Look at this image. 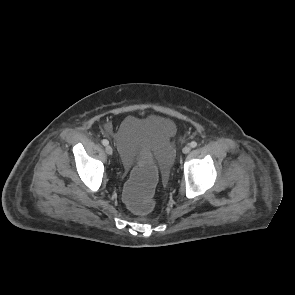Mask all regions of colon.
I'll list each match as a JSON object with an SVG mask.
<instances>
[{
  "instance_id": "1",
  "label": "colon",
  "mask_w": 295,
  "mask_h": 295,
  "mask_svg": "<svg viewBox=\"0 0 295 295\" xmlns=\"http://www.w3.org/2000/svg\"><path fill=\"white\" fill-rule=\"evenodd\" d=\"M157 167L150 160H141L129 175L123 189L128 209L141 217H150L157 210L153 194L157 190Z\"/></svg>"
}]
</instances>
